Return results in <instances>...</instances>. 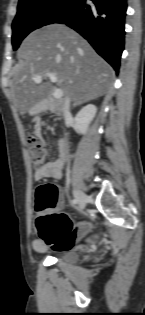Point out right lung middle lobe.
Segmentation results:
<instances>
[{
  "mask_svg": "<svg viewBox=\"0 0 145 315\" xmlns=\"http://www.w3.org/2000/svg\"><path fill=\"white\" fill-rule=\"evenodd\" d=\"M73 0H27L19 2L12 24V45L16 50L35 29L52 24Z\"/></svg>",
  "mask_w": 145,
  "mask_h": 315,
  "instance_id": "1",
  "label": "right lung middle lobe"
}]
</instances>
